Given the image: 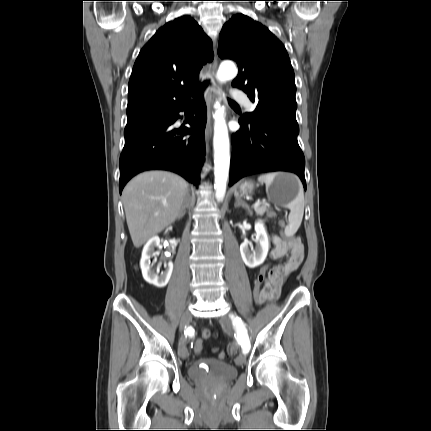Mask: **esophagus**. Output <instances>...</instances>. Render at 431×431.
Masks as SVG:
<instances>
[{
  "label": "esophagus",
  "mask_w": 431,
  "mask_h": 431,
  "mask_svg": "<svg viewBox=\"0 0 431 431\" xmlns=\"http://www.w3.org/2000/svg\"><path fill=\"white\" fill-rule=\"evenodd\" d=\"M216 44L217 40L214 39V59L212 63L208 67L207 78L209 82V86L206 92V103H207V125L205 130V138L206 141L209 140V137L212 132V105L214 100L218 94V85L216 82V70L218 66L217 53H216Z\"/></svg>",
  "instance_id": "1"
}]
</instances>
